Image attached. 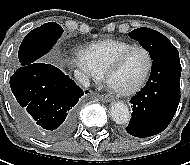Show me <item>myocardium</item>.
I'll use <instances>...</instances> for the list:
<instances>
[{"instance_id":"obj_1","label":"myocardium","mask_w":190,"mask_h":165,"mask_svg":"<svg viewBox=\"0 0 190 165\" xmlns=\"http://www.w3.org/2000/svg\"><path fill=\"white\" fill-rule=\"evenodd\" d=\"M136 49H140L142 51L145 52V54L147 55L148 58V65H147V69L143 75V77L140 79V81L135 84L134 86L128 88V89H119L116 88L114 86H112L110 84V78L113 75V73L119 68V66L121 65L122 61L124 60V58L126 57V55L128 53H130L133 50ZM153 64H154V59L152 56V53L150 52V50L148 48H146L143 45H132L126 49H124L123 51H121L116 57L115 59L111 62V64L109 65V67L107 68L106 72H105V82L106 84L117 94L122 95V96H129L132 94L137 93L139 90L142 89V87L145 85V83L147 82L152 69H153Z\"/></svg>"}]
</instances>
